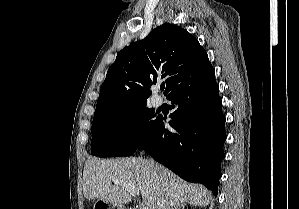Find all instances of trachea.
I'll list each match as a JSON object with an SVG mask.
<instances>
[{
  "mask_svg": "<svg viewBox=\"0 0 299 209\" xmlns=\"http://www.w3.org/2000/svg\"><path fill=\"white\" fill-rule=\"evenodd\" d=\"M164 88H165V86H164V85H161V86H160V89H161V91H163V90H164Z\"/></svg>",
  "mask_w": 299,
  "mask_h": 209,
  "instance_id": "obj_1",
  "label": "trachea"
}]
</instances>
